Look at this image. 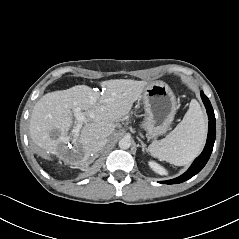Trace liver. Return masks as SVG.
Masks as SVG:
<instances>
[{
  "label": "liver",
  "mask_w": 239,
  "mask_h": 239,
  "mask_svg": "<svg viewBox=\"0 0 239 239\" xmlns=\"http://www.w3.org/2000/svg\"><path fill=\"white\" fill-rule=\"evenodd\" d=\"M148 85L146 81L115 79L101 83L102 92L86 85L73 86L43 95L35 104L29 123L31 141L45 158L46 152L60 156L64 145H81L83 154L72 165H86L98 151L96 143L109 138L115 131V121L127 115L133 103ZM76 108L83 119H73ZM78 153V147H74Z\"/></svg>",
  "instance_id": "1"
}]
</instances>
